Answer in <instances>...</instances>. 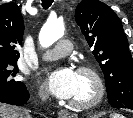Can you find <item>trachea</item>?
Here are the masks:
<instances>
[{"instance_id":"obj_1","label":"trachea","mask_w":133,"mask_h":118,"mask_svg":"<svg viewBox=\"0 0 133 118\" xmlns=\"http://www.w3.org/2000/svg\"><path fill=\"white\" fill-rule=\"evenodd\" d=\"M53 3V0H42V6L44 9H48Z\"/></svg>"}]
</instances>
